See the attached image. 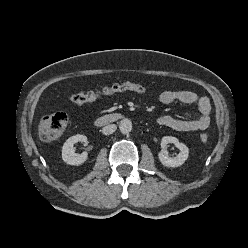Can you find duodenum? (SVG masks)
I'll return each mask as SVG.
<instances>
[{
  "instance_id": "obj_1",
  "label": "duodenum",
  "mask_w": 248,
  "mask_h": 248,
  "mask_svg": "<svg viewBox=\"0 0 248 248\" xmlns=\"http://www.w3.org/2000/svg\"><path fill=\"white\" fill-rule=\"evenodd\" d=\"M121 117L119 113H110L97 118L95 123L99 125L110 124L120 120Z\"/></svg>"
}]
</instances>
